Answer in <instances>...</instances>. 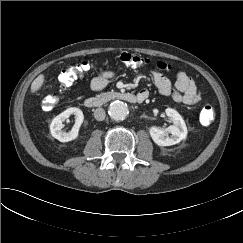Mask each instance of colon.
<instances>
[{
    "label": "colon",
    "mask_w": 243,
    "mask_h": 243,
    "mask_svg": "<svg viewBox=\"0 0 243 243\" xmlns=\"http://www.w3.org/2000/svg\"><path fill=\"white\" fill-rule=\"evenodd\" d=\"M116 61L132 67H140L144 65H148L150 60L144 58L137 54H132L128 52H123L116 57ZM96 66V62L94 61H83L75 66L68 67L61 71L59 74L60 81V91L65 90L69 86L73 84V82L78 78L93 70ZM156 67L160 71L169 72L172 70V66L165 62H158ZM60 97L57 93H51L47 95L42 100V108L44 110L53 109L59 102ZM216 117V113L214 109L209 105H204L200 111V121L204 125L211 124Z\"/></svg>",
    "instance_id": "5ec220e1"
}]
</instances>
